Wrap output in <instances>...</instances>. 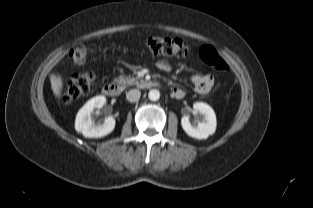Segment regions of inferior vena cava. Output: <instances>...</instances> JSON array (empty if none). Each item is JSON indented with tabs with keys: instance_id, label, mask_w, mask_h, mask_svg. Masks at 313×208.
<instances>
[{
	"instance_id": "inferior-vena-cava-1",
	"label": "inferior vena cava",
	"mask_w": 313,
	"mask_h": 208,
	"mask_svg": "<svg viewBox=\"0 0 313 208\" xmlns=\"http://www.w3.org/2000/svg\"><path fill=\"white\" fill-rule=\"evenodd\" d=\"M141 92L137 89H132L126 93V99L129 102H136L140 99Z\"/></svg>"
}]
</instances>
